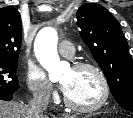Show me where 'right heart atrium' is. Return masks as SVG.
I'll list each match as a JSON object with an SVG mask.
<instances>
[{"label": "right heart atrium", "mask_w": 133, "mask_h": 118, "mask_svg": "<svg viewBox=\"0 0 133 118\" xmlns=\"http://www.w3.org/2000/svg\"><path fill=\"white\" fill-rule=\"evenodd\" d=\"M27 84L32 95L39 99H50L54 96L53 85L46 73L38 67L29 69Z\"/></svg>", "instance_id": "1"}]
</instances>
